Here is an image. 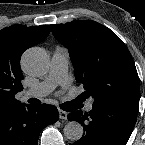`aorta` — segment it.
Masks as SVG:
<instances>
[{
    "mask_svg": "<svg viewBox=\"0 0 145 145\" xmlns=\"http://www.w3.org/2000/svg\"><path fill=\"white\" fill-rule=\"evenodd\" d=\"M21 64L27 74L31 76H42L47 72L50 61L43 49L33 47L25 51L21 59ZM63 131L64 136L71 141L79 140L84 132L83 126L76 121L68 122Z\"/></svg>",
    "mask_w": 145,
    "mask_h": 145,
    "instance_id": "762f6f07",
    "label": "aorta"
}]
</instances>
